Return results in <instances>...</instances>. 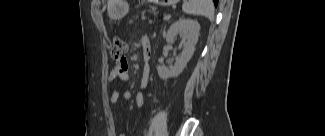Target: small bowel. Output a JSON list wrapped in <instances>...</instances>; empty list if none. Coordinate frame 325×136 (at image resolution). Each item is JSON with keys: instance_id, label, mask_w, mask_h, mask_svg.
<instances>
[{"instance_id": "1", "label": "small bowel", "mask_w": 325, "mask_h": 136, "mask_svg": "<svg viewBox=\"0 0 325 136\" xmlns=\"http://www.w3.org/2000/svg\"><path fill=\"white\" fill-rule=\"evenodd\" d=\"M144 43L149 46V39L145 37L143 39ZM129 65L128 61L126 59L119 60L115 67L110 70L108 74V80L110 82L113 81H119L122 83H126L129 81ZM149 81V68L146 66L143 70V74L141 77V86L142 88H145ZM132 98V94L130 91H124L120 93L117 90H113L109 96V101L111 104H117L120 99H123L125 101H129ZM135 103L138 107H143L145 104V97L143 93H138L135 96Z\"/></svg>"}]
</instances>
